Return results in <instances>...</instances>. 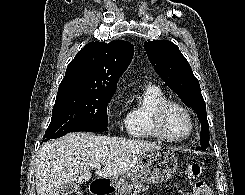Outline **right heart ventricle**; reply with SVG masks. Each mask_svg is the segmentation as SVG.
Segmentation results:
<instances>
[{"mask_svg":"<svg viewBox=\"0 0 245 195\" xmlns=\"http://www.w3.org/2000/svg\"><path fill=\"white\" fill-rule=\"evenodd\" d=\"M168 98L161 88L147 85L142 91V103L130 107L127 113L128 134L133 138H159L151 124L153 110Z\"/></svg>","mask_w":245,"mask_h":195,"instance_id":"e07e8e85","label":"right heart ventricle"}]
</instances>
